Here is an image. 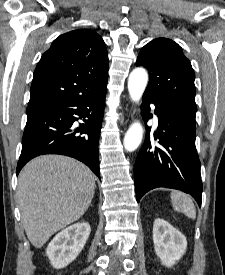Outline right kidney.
<instances>
[{"mask_svg": "<svg viewBox=\"0 0 225 275\" xmlns=\"http://www.w3.org/2000/svg\"><path fill=\"white\" fill-rule=\"evenodd\" d=\"M90 231V225L87 222H81L59 232L46 249L51 265L61 269L74 261L84 248Z\"/></svg>", "mask_w": 225, "mask_h": 275, "instance_id": "obj_1", "label": "right kidney"}]
</instances>
